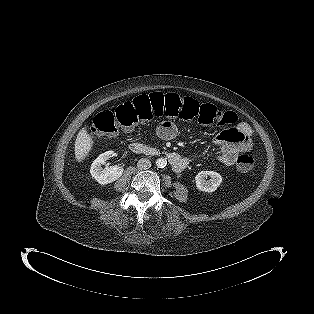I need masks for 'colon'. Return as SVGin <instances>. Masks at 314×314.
<instances>
[{
  "instance_id": "5ec220e1",
  "label": "colon",
  "mask_w": 314,
  "mask_h": 314,
  "mask_svg": "<svg viewBox=\"0 0 314 314\" xmlns=\"http://www.w3.org/2000/svg\"><path fill=\"white\" fill-rule=\"evenodd\" d=\"M162 116L221 126L226 124L228 114L191 97L154 92L137 96L114 110L98 113L92 121L91 132L95 136L112 137L120 130H129L139 123H148L155 117ZM236 166L241 172H248L254 166V158L242 154L237 158Z\"/></svg>"
}]
</instances>
